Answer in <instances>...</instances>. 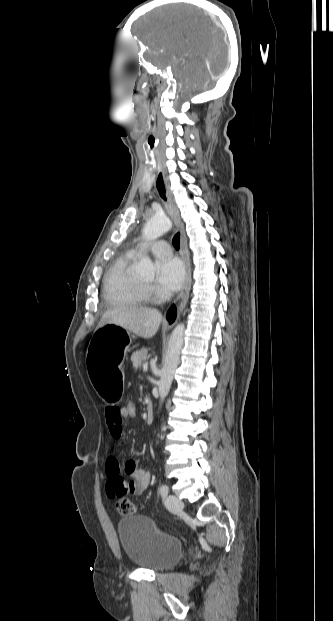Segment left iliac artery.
Returning <instances> with one entry per match:
<instances>
[{"mask_svg":"<svg viewBox=\"0 0 333 621\" xmlns=\"http://www.w3.org/2000/svg\"><path fill=\"white\" fill-rule=\"evenodd\" d=\"M168 491H169L168 486L165 484H163L159 489L160 494L163 496L167 495Z\"/></svg>","mask_w":333,"mask_h":621,"instance_id":"1","label":"left iliac artery"}]
</instances>
